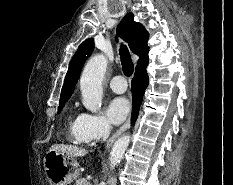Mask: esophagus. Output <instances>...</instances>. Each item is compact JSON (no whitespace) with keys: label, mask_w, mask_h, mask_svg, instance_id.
<instances>
[{"label":"esophagus","mask_w":233,"mask_h":185,"mask_svg":"<svg viewBox=\"0 0 233 185\" xmlns=\"http://www.w3.org/2000/svg\"><path fill=\"white\" fill-rule=\"evenodd\" d=\"M130 126V119H128L107 141L106 148L109 149L114 141Z\"/></svg>","instance_id":"esophagus-1"}]
</instances>
